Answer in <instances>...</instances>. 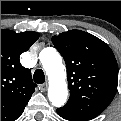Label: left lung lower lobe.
Masks as SVG:
<instances>
[{"label": "left lung lower lobe", "instance_id": "left-lung-lower-lobe-1", "mask_svg": "<svg viewBox=\"0 0 121 121\" xmlns=\"http://www.w3.org/2000/svg\"><path fill=\"white\" fill-rule=\"evenodd\" d=\"M57 113H58L62 118L66 119V120H70V121H79V120H76V119H73V118H70V117H67V116L63 115V114H62L61 112H59L58 110H57Z\"/></svg>", "mask_w": 121, "mask_h": 121}]
</instances>
